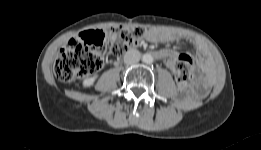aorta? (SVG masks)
Listing matches in <instances>:
<instances>
[{
	"label": "aorta",
	"mask_w": 261,
	"mask_h": 150,
	"mask_svg": "<svg viewBox=\"0 0 261 150\" xmlns=\"http://www.w3.org/2000/svg\"><path fill=\"white\" fill-rule=\"evenodd\" d=\"M142 61L146 64H151L153 63V57L151 54H144L143 57H142Z\"/></svg>",
	"instance_id": "762f6f07"
}]
</instances>
